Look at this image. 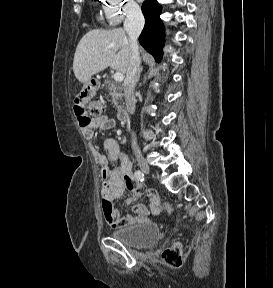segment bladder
<instances>
[{"mask_svg":"<svg viewBox=\"0 0 273 288\" xmlns=\"http://www.w3.org/2000/svg\"><path fill=\"white\" fill-rule=\"evenodd\" d=\"M116 241L133 249H148L156 245L161 239V231L157 224L144 222L122 227L111 232Z\"/></svg>","mask_w":273,"mask_h":288,"instance_id":"31cf9c89","label":"bladder"}]
</instances>
